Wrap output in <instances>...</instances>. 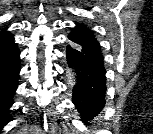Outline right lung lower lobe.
<instances>
[{
	"instance_id": "98d812e1",
	"label": "right lung lower lobe",
	"mask_w": 153,
	"mask_h": 134,
	"mask_svg": "<svg viewBox=\"0 0 153 134\" xmlns=\"http://www.w3.org/2000/svg\"><path fill=\"white\" fill-rule=\"evenodd\" d=\"M20 52L15 43L0 48V130L9 122L8 114L17 88Z\"/></svg>"
}]
</instances>
